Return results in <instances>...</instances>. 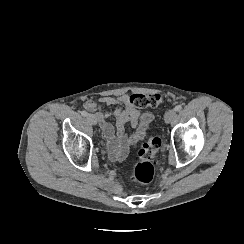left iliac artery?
Returning a JSON list of instances; mask_svg holds the SVG:
<instances>
[{"label": "left iliac artery", "mask_w": 244, "mask_h": 244, "mask_svg": "<svg viewBox=\"0 0 244 244\" xmlns=\"http://www.w3.org/2000/svg\"><path fill=\"white\" fill-rule=\"evenodd\" d=\"M181 109H182L181 105H176L174 108L175 111H180Z\"/></svg>", "instance_id": "44dca946"}]
</instances>
